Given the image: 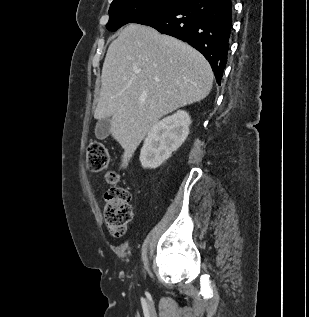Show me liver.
I'll use <instances>...</instances> for the list:
<instances>
[{
    "mask_svg": "<svg viewBox=\"0 0 309 317\" xmlns=\"http://www.w3.org/2000/svg\"><path fill=\"white\" fill-rule=\"evenodd\" d=\"M212 84L211 66L197 50L131 23L108 48L94 117L110 118V133L124 149L126 167L161 117L206 98Z\"/></svg>",
    "mask_w": 309,
    "mask_h": 317,
    "instance_id": "6515ba94",
    "label": "liver"
}]
</instances>
